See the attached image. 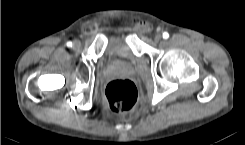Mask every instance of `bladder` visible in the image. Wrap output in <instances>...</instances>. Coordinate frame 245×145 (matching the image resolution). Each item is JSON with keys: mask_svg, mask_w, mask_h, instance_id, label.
Segmentation results:
<instances>
[{"mask_svg": "<svg viewBox=\"0 0 245 145\" xmlns=\"http://www.w3.org/2000/svg\"><path fill=\"white\" fill-rule=\"evenodd\" d=\"M106 58L109 60L120 59L129 63H134L136 56L132 51L127 39H122L111 43L106 51Z\"/></svg>", "mask_w": 245, "mask_h": 145, "instance_id": "31cf9c89", "label": "bladder"}]
</instances>
